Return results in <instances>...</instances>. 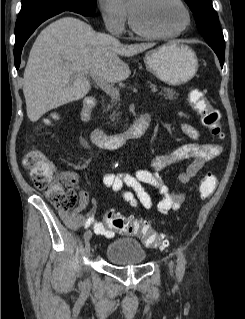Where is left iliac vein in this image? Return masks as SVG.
<instances>
[{"label": "left iliac vein", "instance_id": "left-iliac-vein-1", "mask_svg": "<svg viewBox=\"0 0 245 319\" xmlns=\"http://www.w3.org/2000/svg\"><path fill=\"white\" fill-rule=\"evenodd\" d=\"M169 270H170V273L172 275L173 271H174V262L173 261H170V263H169Z\"/></svg>", "mask_w": 245, "mask_h": 319}]
</instances>
